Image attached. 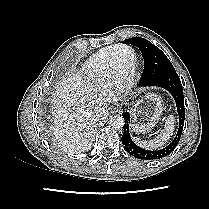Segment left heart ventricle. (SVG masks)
Masks as SVG:
<instances>
[{
    "mask_svg": "<svg viewBox=\"0 0 209 209\" xmlns=\"http://www.w3.org/2000/svg\"><path fill=\"white\" fill-rule=\"evenodd\" d=\"M133 61V53L130 50L122 51L117 60V67L120 72H125L130 68Z\"/></svg>",
    "mask_w": 209,
    "mask_h": 209,
    "instance_id": "1",
    "label": "left heart ventricle"
}]
</instances>
